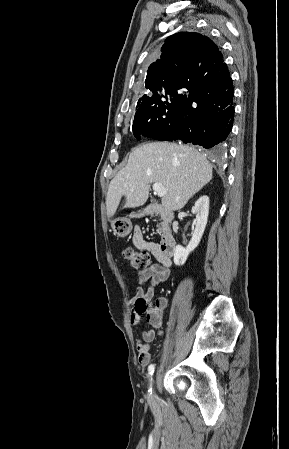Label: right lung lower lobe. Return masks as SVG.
<instances>
[{"label": "right lung lower lobe", "mask_w": 289, "mask_h": 449, "mask_svg": "<svg viewBox=\"0 0 289 449\" xmlns=\"http://www.w3.org/2000/svg\"><path fill=\"white\" fill-rule=\"evenodd\" d=\"M179 104L173 122L154 139L201 145L212 153L225 149L234 118V87L227 65L205 81H188L178 87Z\"/></svg>", "instance_id": "1"}]
</instances>
